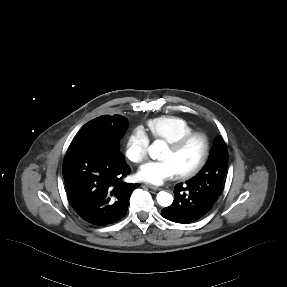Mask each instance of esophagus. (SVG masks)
<instances>
[{
  "label": "esophagus",
  "mask_w": 287,
  "mask_h": 287,
  "mask_svg": "<svg viewBox=\"0 0 287 287\" xmlns=\"http://www.w3.org/2000/svg\"><path fill=\"white\" fill-rule=\"evenodd\" d=\"M147 187H149V188H150V189H152V190H156V191L161 190V188H160V187L155 186V185H152V184H147Z\"/></svg>",
  "instance_id": "1"
}]
</instances>
